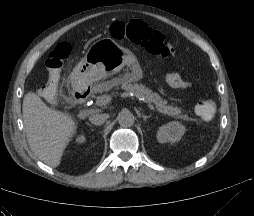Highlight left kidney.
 I'll list each match as a JSON object with an SVG mask.
<instances>
[{"label":"left kidney","instance_id":"obj_1","mask_svg":"<svg viewBox=\"0 0 254 216\" xmlns=\"http://www.w3.org/2000/svg\"><path fill=\"white\" fill-rule=\"evenodd\" d=\"M185 131L186 129L181 123L177 121L169 122L159 128L157 132V140L160 143H174L181 139Z\"/></svg>","mask_w":254,"mask_h":216}]
</instances>
